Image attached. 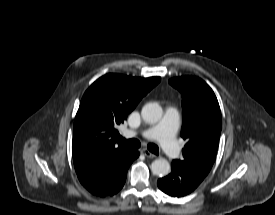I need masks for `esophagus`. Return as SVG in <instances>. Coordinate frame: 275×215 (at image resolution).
Segmentation results:
<instances>
[{
  "label": "esophagus",
  "instance_id": "obj_1",
  "mask_svg": "<svg viewBox=\"0 0 275 215\" xmlns=\"http://www.w3.org/2000/svg\"><path fill=\"white\" fill-rule=\"evenodd\" d=\"M141 153H142L144 156H146L147 158H152V159H153V158L156 157L155 154L149 152V151L146 150V149H142V150H141Z\"/></svg>",
  "mask_w": 275,
  "mask_h": 215
}]
</instances>
